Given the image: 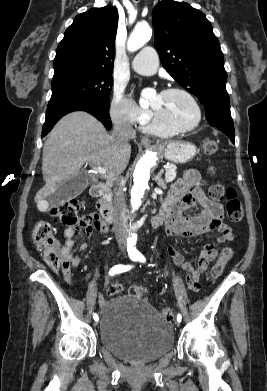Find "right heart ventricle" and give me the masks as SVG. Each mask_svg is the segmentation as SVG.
<instances>
[{
	"label": "right heart ventricle",
	"mask_w": 267,
	"mask_h": 391,
	"mask_svg": "<svg viewBox=\"0 0 267 391\" xmlns=\"http://www.w3.org/2000/svg\"><path fill=\"white\" fill-rule=\"evenodd\" d=\"M146 130L150 133H153V134H156V135L162 136V137H167V136H171V135L175 134L169 130H166L164 128L157 126L154 122L147 124Z\"/></svg>",
	"instance_id": "obj_1"
}]
</instances>
